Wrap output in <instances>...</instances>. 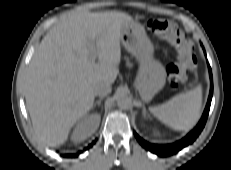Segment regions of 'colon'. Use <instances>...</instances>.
I'll return each instance as SVG.
<instances>
[{"instance_id":"colon-1","label":"colon","mask_w":231,"mask_h":170,"mask_svg":"<svg viewBox=\"0 0 231 170\" xmlns=\"http://www.w3.org/2000/svg\"><path fill=\"white\" fill-rule=\"evenodd\" d=\"M148 29L167 40L178 51V59L169 73V82L176 87L186 75L187 67L192 63L191 44L177 26L167 20L151 19L147 22Z\"/></svg>"}]
</instances>
